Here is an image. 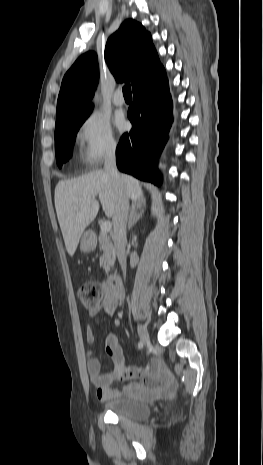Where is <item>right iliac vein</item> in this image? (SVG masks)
<instances>
[{"label":"right iliac vein","instance_id":"obj_1","mask_svg":"<svg viewBox=\"0 0 263 465\" xmlns=\"http://www.w3.org/2000/svg\"><path fill=\"white\" fill-rule=\"evenodd\" d=\"M137 331H138V335H139V338L141 340V342L146 345L150 342V337H149V333L146 329L145 326H143L142 324H138L137 325Z\"/></svg>","mask_w":263,"mask_h":465}]
</instances>
